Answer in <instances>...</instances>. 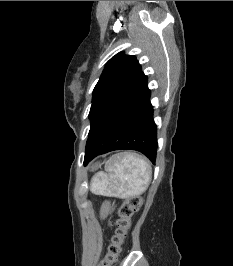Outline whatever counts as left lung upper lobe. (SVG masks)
I'll return each instance as SVG.
<instances>
[{
  "mask_svg": "<svg viewBox=\"0 0 233 266\" xmlns=\"http://www.w3.org/2000/svg\"><path fill=\"white\" fill-rule=\"evenodd\" d=\"M140 73L141 66L135 56L120 52L109 60L93 91L89 136L106 108Z\"/></svg>",
  "mask_w": 233,
  "mask_h": 266,
  "instance_id": "1",
  "label": "left lung upper lobe"
}]
</instances>
